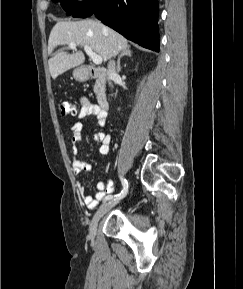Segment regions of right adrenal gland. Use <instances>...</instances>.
I'll list each match as a JSON object with an SVG mask.
<instances>
[{
  "mask_svg": "<svg viewBox=\"0 0 243 289\" xmlns=\"http://www.w3.org/2000/svg\"><path fill=\"white\" fill-rule=\"evenodd\" d=\"M123 56H128V57H132V51L130 48H127V49H123L121 50L120 52V55L118 57V60H117V72H120L121 71V65H120V60Z\"/></svg>",
  "mask_w": 243,
  "mask_h": 289,
  "instance_id": "right-adrenal-gland-1",
  "label": "right adrenal gland"
}]
</instances>
